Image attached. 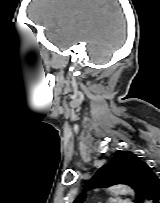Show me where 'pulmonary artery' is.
<instances>
[{"label":"pulmonary artery","instance_id":"obj_1","mask_svg":"<svg viewBox=\"0 0 160 203\" xmlns=\"http://www.w3.org/2000/svg\"><path fill=\"white\" fill-rule=\"evenodd\" d=\"M117 203H133L131 200H118Z\"/></svg>","mask_w":160,"mask_h":203}]
</instances>
